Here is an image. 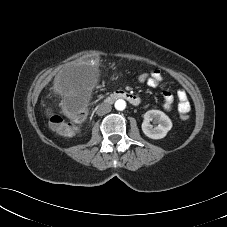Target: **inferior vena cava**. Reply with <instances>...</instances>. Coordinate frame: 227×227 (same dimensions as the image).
Listing matches in <instances>:
<instances>
[{
	"mask_svg": "<svg viewBox=\"0 0 227 227\" xmlns=\"http://www.w3.org/2000/svg\"><path fill=\"white\" fill-rule=\"evenodd\" d=\"M112 109V106L108 103H102L99 105L98 109H97V114L99 116L105 115L107 113H109Z\"/></svg>",
	"mask_w": 227,
	"mask_h": 227,
	"instance_id": "obj_1",
	"label": "inferior vena cava"
}]
</instances>
